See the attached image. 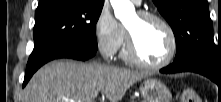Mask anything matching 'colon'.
<instances>
[{
	"label": "colon",
	"instance_id": "obj_1",
	"mask_svg": "<svg viewBox=\"0 0 221 102\" xmlns=\"http://www.w3.org/2000/svg\"><path fill=\"white\" fill-rule=\"evenodd\" d=\"M181 102H202V100L195 90L187 88L181 94Z\"/></svg>",
	"mask_w": 221,
	"mask_h": 102
}]
</instances>
